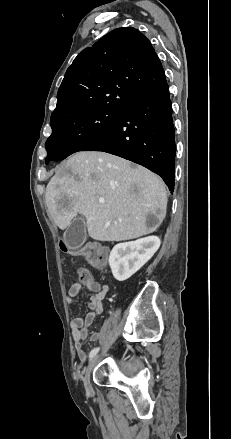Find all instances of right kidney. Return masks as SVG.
<instances>
[{"instance_id": "1", "label": "right kidney", "mask_w": 231, "mask_h": 439, "mask_svg": "<svg viewBox=\"0 0 231 439\" xmlns=\"http://www.w3.org/2000/svg\"><path fill=\"white\" fill-rule=\"evenodd\" d=\"M160 243L157 236H148L115 245L109 256V265L114 278L118 281L130 278L151 259Z\"/></svg>"}]
</instances>
